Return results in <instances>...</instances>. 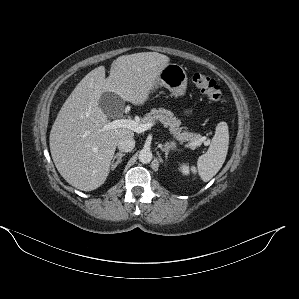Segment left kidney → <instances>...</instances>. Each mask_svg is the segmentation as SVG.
Wrapping results in <instances>:
<instances>
[{"label": "left kidney", "mask_w": 299, "mask_h": 299, "mask_svg": "<svg viewBox=\"0 0 299 299\" xmlns=\"http://www.w3.org/2000/svg\"><path fill=\"white\" fill-rule=\"evenodd\" d=\"M180 170H181V172H182L184 175H188V174H189V168H188L187 165H184V164L181 165Z\"/></svg>", "instance_id": "1"}]
</instances>
